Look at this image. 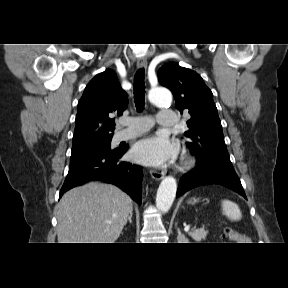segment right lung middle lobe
I'll return each mask as SVG.
<instances>
[{
  "instance_id": "1",
  "label": "right lung middle lobe",
  "mask_w": 288,
  "mask_h": 288,
  "mask_svg": "<svg viewBox=\"0 0 288 288\" xmlns=\"http://www.w3.org/2000/svg\"><path fill=\"white\" fill-rule=\"evenodd\" d=\"M111 139H107L105 141L99 142L97 144L83 146L78 148H72L71 159L70 162L80 160L89 155L96 154L99 152H106L111 150Z\"/></svg>"
}]
</instances>
